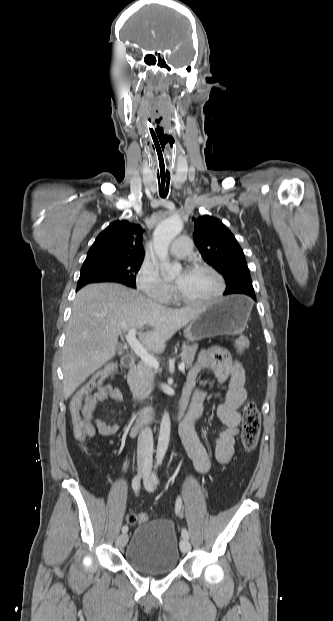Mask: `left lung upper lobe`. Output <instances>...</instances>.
<instances>
[{"label":"left lung upper lobe","instance_id":"left-lung-upper-lobe-1","mask_svg":"<svg viewBox=\"0 0 333 621\" xmlns=\"http://www.w3.org/2000/svg\"><path fill=\"white\" fill-rule=\"evenodd\" d=\"M193 220L194 242L204 261L226 279L224 295H255L243 250L234 235L215 217L204 215Z\"/></svg>","mask_w":333,"mask_h":621}]
</instances>
